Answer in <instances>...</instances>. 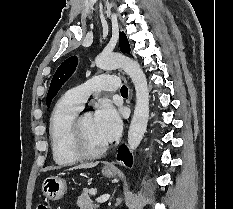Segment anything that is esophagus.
<instances>
[{
    "instance_id": "esophagus-1",
    "label": "esophagus",
    "mask_w": 233,
    "mask_h": 209,
    "mask_svg": "<svg viewBox=\"0 0 233 209\" xmlns=\"http://www.w3.org/2000/svg\"><path fill=\"white\" fill-rule=\"evenodd\" d=\"M110 168H113L114 166L113 165H109Z\"/></svg>"
}]
</instances>
